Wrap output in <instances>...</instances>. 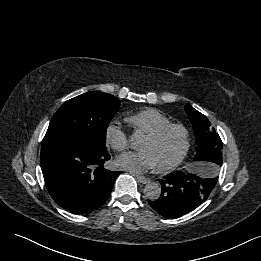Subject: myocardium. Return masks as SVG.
<instances>
[{
  "mask_svg": "<svg viewBox=\"0 0 261 261\" xmlns=\"http://www.w3.org/2000/svg\"><path fill=\"white\" fill-rule=\"evenodd\" d=\"M173 130H178L182 133L183 136V148L178 157L173 160L171 163L157 167V171L160 173H168L177 168L187 157L190 147H191V135L189 129L181 123H170L168 125L163 126L159 130L148 134L147 138L152 141H160L163 139L169 132Z\"/></svg>",
  "mask_w": 261,
  "mask_h": 261,
  "instance_id": "myocardium-1",
  "label": "myocardium"
}]
</instances>
